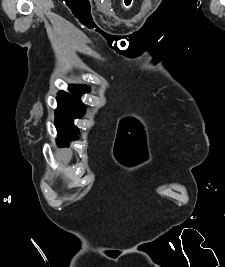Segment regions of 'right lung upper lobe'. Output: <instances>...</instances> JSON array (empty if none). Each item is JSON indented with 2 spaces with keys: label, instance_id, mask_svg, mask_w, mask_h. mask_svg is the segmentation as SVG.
Listing matches in <instances>:
<instances>
[{
  "label": "right lung upper lobe",
  "instance_id": "cb5924a9",
  "mask_svg": "<svg viewBox=\"0 0 225 267\" xmlns=\"http://www.w3.org/2000/svg\"><path fill=\"white\" fill-rule=\"evenodd\" d=\"M70 91L79 94V93H86L89 90H88L87 86L83 87V86H80V85H71L70 86Z\"/></svg>",
  "mask_w": 225,
  "mask_h": 267
}]
</instances>
